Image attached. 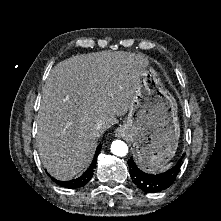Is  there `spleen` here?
<instances>
[{"instance_id": "3e777b00", "label": "spleen", "mask_w": 221, "mask_h": 221, "mask_svg": "<svg viewBox=\"0 0 221 221\" xmlns=\"http://www.w3.org/2000/svg\"><path fill=\"white\" fill-rule=\"evenodd\" d=\"M171 164H172V163L168 164L167 166H162V167H160V171H163V170L167 169L168 167L171 166Z\"/></svg>"}]
</instances>
